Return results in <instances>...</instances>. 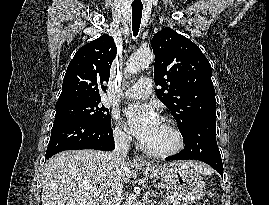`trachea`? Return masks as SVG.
Instances as JSON below:
<instances>
[{
  "label": "trachea",
  "instance_id": "1",
  "mask_svg": "<svg viewBox=\"0 0 269 205\" xmlns=\"http://www.w3.org/2000/svg\"><path fill=\"white\" fill-rule=\"evenodd\" d=\"M143 6H132V30L133 35L137 36L141 24Z\"/></svg>",
  "mask_w": 269,
  "mask_h": 205
}]
</instances>
